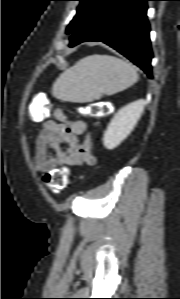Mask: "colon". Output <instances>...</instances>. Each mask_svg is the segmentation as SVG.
<instances>
[{
    "mask_svg": "<svg viewBox=\"0 0 180 299\" xmlns=\"http://www.w3.org/2000/svg\"><path fill=\"white\" fill-rule=\"evenodd\" d=\"M100 112V107L93 106L91 108L92 115H97ZM40 118H45L44 114L37 115ZM69 181L68 171L65 169H56L44 176V184L54 193L64 189Z\"/></svg>",
    "mask_w": 180,
    "mask_h": 299,
    "instance_id": "1",
    "label": "colon"
}]
</instances>
